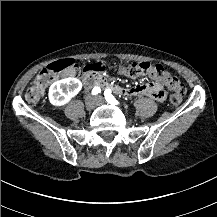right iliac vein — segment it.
<instances>
[{
	"instance_id": "1",
	"label": "right iliac vein",
	"mask_w": 217,
	"mask_h": 217,
	"mask_svg": "<svg viewBox=\"0 0 217 217\" xmlns=\"http://www.w3.org/2000/svg\"><path fill=\"white\" fill-rule=\"evenodd\" d=\"M85 106L87 110H93L96 106V99L94 96L89 95L85 98Z\"/></svg>"
}]
</instances>
